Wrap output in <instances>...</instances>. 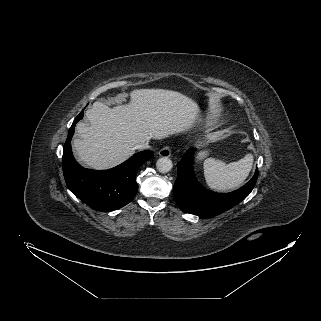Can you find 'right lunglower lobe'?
Masks as SVG:
<instances>
[{
  "instance_id": "right-lung-lower-lobe-1",
  "label": "right lung lower lobe",
  "mask_w": 321,
  "mask_h": 321,
  "mask_svg": "<svg viewBox=\"0 0 321 321\" xmlns=\"http://www.w3.org/2000/svg\"><path fill=\"white\" fill-rule=\"evenodd\" d=\"M83 118V111L74 119L63 148V174L69 190L94 210L109 212L132 201L137 193L138 169L153 158L151 151L136 153L124 163L104 171L81 167L71 151V139L76 123Z\"/></svg>"
}]
</instances>
